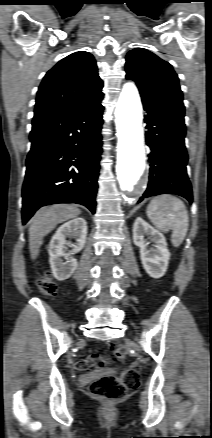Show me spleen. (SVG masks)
<instances>
[{
    "label": "spleen",
    "instance_id": "spleen-1",
    "mask_svg": "<svg viewBox=\"0 0 212 438\" xmlns=\"http://www.w3.org/2000/svg\"><path fill=\"white\" fill-rule=\"evenodd\" d=\"M147 216L162 232L172 230L171 242L179 247L189 227V216L182 200L169 194L156 196L147 206Z\"/></svg>",
    "mask_w": 212,
    "mask_h": 438
}]
</instances>
